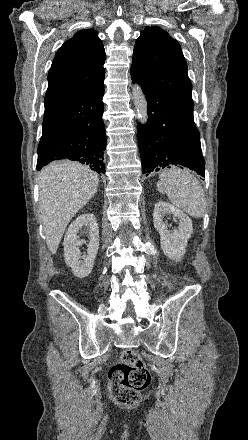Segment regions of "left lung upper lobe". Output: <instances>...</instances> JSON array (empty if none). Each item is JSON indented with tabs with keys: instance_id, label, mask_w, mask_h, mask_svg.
<instances>
[{
	"instance_id": "5c2ea615",
	"label": "left lung upper lobe",
	"mask_w": 248,
	"mask_h": 440,
	"mask_svg": "<svg viewBox=\"0 0 248 440\" xmlns=\"http://www.w3.org/2000/svg\"><path fill=\"white\" fill-rule=\"evenodd\" d=\"M131 74L193 115L192 85L179 43L158 26L146 27L136 40Z\"/></svg>"
}]
</instances>
